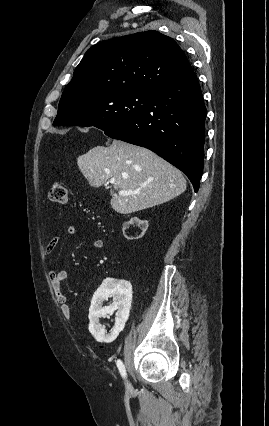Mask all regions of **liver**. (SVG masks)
Segmentation results:
<instances>
[{
    "mask_svg": "<svg viewBox=\"0 0 269 426\" xmlns=\"http://www.w3.org/2000/svg\"><path fill=\"white\" fill-rule=\"evenodd\" d=\"M77 164L92 187L115 179V190L137 192L122 196L110 191L111 206L121 214L166 203L187 187L182 172L173 165L146 148L120 140L90 149L77 158Z\"/></svg>",
    "mask_w": 269,
    "mask_h": 426,
    "instance_id": "obj_1",
    "label": "liver"
}]
</instances>
